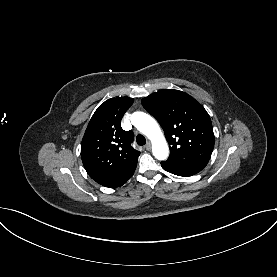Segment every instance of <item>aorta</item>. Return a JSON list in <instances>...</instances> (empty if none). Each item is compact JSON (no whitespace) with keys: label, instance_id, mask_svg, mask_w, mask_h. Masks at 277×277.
I'll return each instance as SVG.
<instances>
[{"label":"aorta","instance_id":"aorta-1","mask_svg":"<svg viewBox=\"0 0 277 277\" xmlns=\"http://www.w3.org/2000/svg\"><path fill=\"white\" fill-rule=\"evenodd\" d=\"M131 121L151 140L154 157L158 160H166L169 155L168 144L155 119L144 112H134L131 115Z\"/></svg>","mask_w":277,"mask_h":277}]
</instances>
